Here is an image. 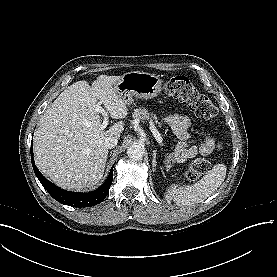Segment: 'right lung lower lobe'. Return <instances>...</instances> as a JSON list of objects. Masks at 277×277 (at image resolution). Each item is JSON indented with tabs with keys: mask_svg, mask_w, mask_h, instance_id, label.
Instances as JSON below:
<instances>
[{
	"mask_svg": "<svg viewBox=\"0 0 277 277\" xmlns=\"http://www.w3.org/2000/svg\"><path fill=\"white\" fill-rule=\"evenodd\" d=\"M31 160L32 166L35 172V175L41 182L44 189L48 191V193L58 202L72 206V207H91L98 203H101L107 196L109 192V188L113 181V166L110 170V173L104 182V184L98 188L97 190L91 191L89 193H78V192H70L63 190L56 185L52 184L49 180H47L37 169L34 159H33V149L31 148Z\"/></svg>",
	"mask_w": 277,
	"mask_h": 277,
	"instance_id": "1",
	"label": "right lung lower lobe"
}]
</instances>
